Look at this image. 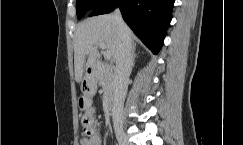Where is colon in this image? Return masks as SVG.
<instances>
[{"mask_svg": "<svg viewBox=\"0 0 243 145\" xmlns=\"http://www.w3.org/2000/svg\"><path fill=\"white\" fill-rule=\"evenodd\" d=\"M93 131L92 123L89 117L85 116L83 118V134L84 136H89Z\"/></svg>", "mask_w": 243, "mask_h": 145, "instance_id": "5ec220e1", "label": "colon"}]
</instances>
